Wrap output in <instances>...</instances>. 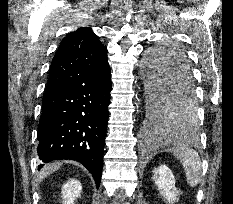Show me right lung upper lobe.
Here are the masks:
<instances>
[{
    "mask_svg": "<svg viewBox=\"0 0 233 204\" xmlns=\"http://www.w3.org/2000/svg\"><path fill=\"white\" fill-rule=\"evenodd\" d=\"M107 50L91 28L81 27L63 38L53 57L46 91L56 89L86 70L105 67Z\"/></svg>",
    "mask_w": 233,
    "mask_h": 204,
    "instance_id": "1",
    "label": "right lung upper lobe"
}]
</instances>
